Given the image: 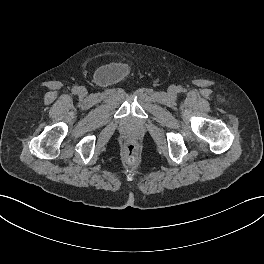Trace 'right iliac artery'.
I'll return each mask as SVG.
<instances>
[{
	"label": "right iliac artery",
	"instance_id": "1",
	"mask_svg": "<svg viewBox=\"0 0 264 264\" xmlns=\"http://www.w3.org/2000/svg\"><path fill=\"white\" fill-rule=\"evenodd\" d=\"M72 92L74 94H77L79 92V87H77V86L73 87Z\"/></svg>",
	"mask_w": 264,
	"mask_h": 264
}]
</instances>
